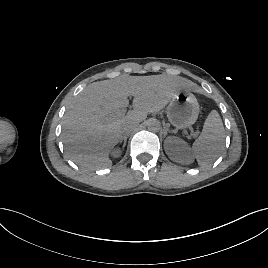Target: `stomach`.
Instances as JSON below:
<instances>
[{
  "mask_svg": "<svg viewBox=\"0 0 268 268\" xmlns=\"http://www.w3.org/2000/svg\"><path fill=\"white\" fill-rule=\"evenodd\" d=\"M199 112L195 96L187 90H182L171 99L167 107V118L176 129H186L196 122Z\"/></svg>",
  "mask_w": 268,
  "mask_h": 268,
  "instance_id": "1",
  "label": "stomach"
}]
</instances>
